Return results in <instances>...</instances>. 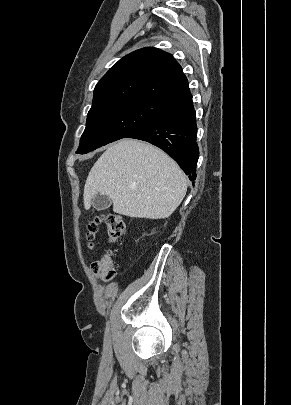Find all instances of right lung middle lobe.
I'll list each match as a JSON object with an SVG mask.
<instances>
[{"label": "right lung middle lobe", "mask_w": 291, "mask_h": 405, "mask_svg": "<svg viewBox=\"0 0 291 405\" xmlns=\"http://www.w3.org/2000/svg\"><path fill=\"white\" fill-rule=\"evenodd\" d=\"M166 105L154 100L131 98L92 107L88 112L86 128L76 153H88L125 138L152 120Z\"/></svg>", "instance_id": "dd1d6c3e"}]
</instances>
